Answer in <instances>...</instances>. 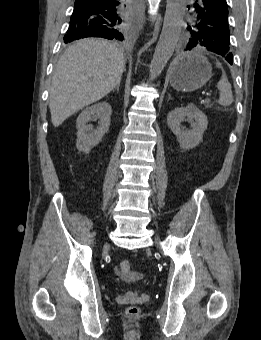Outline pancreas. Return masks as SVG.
<instances>
[{
	"mask_svg": "<svg viewBox=\"0 0 261 340\" xmlns=\"http://www.w3.org/2000/svg\"><path fill=\"white\" fill-rule=\"evenodd\" d=\"M204 104H205L206 107H209V108L212 107V104H211L210 100H205Z\"/></svg>",
	"mask_w": 261,
	"mask_h": 340,
	"instance_id": "cf45deb5",
	"label": "pancreas"
}]
</instances>
